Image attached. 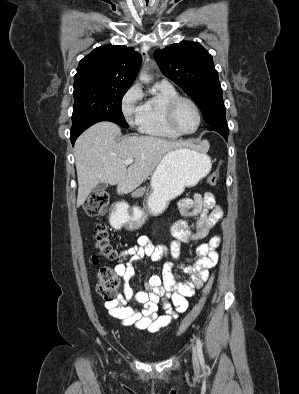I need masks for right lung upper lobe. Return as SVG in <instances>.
Segmentation results:
<instances>
[{
    "label": "right lung upper lobe",
    "instance_id": "1",
    "mask_svg": "<svg viewBox=\"0 0 299 394\" xmlns=\"http://www.w3.org/2000/svg\"><path fill=\"white\" fill-rule=\"evenodd\" d=\"M141 61V55L131 47L105 45L95 48L80 61L74 76V88L98 86L129 89Z\"/></svg>",
    "mask_w": 299,
    "mask_h": 394
}]
</instances>
